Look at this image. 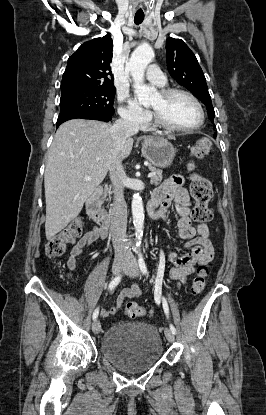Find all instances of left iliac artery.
<instances>
[{"label":"left iliac artery","mask_w":266,"mask_h":415,"mask_svg":"<svg viewBox=\"0 0 266 415\" xmlns=\"http://www.w3.org/2000/svg\"><path fill=\"white\" fill-rule=\"evenodd\" d=\"M138 263H139V268L141 272L144 275H148V270H147V267H146V264H145V261H144V258L141 252L138 253ZM162 280H163V271L158 269V273H157V277L155 281L156 293L161 292ZM162 303H163L164 312L168 317L169 315L168 304L164 297L162 298ZM170 330L172 331L173 334H176V329L172 324H170Z\"/></svg>","instance_id":"obj_1"}]
</instances>
